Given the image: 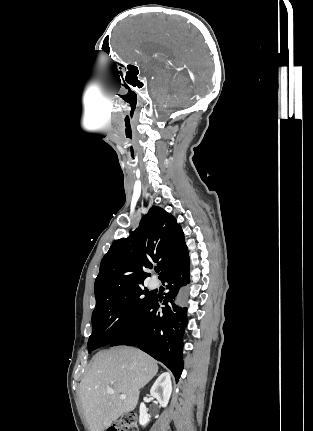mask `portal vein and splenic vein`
I'll return each mask as SVG.
<instances>
[{
  "instance_id": "portal-vein-and-splenic-vein-1",
  "label": "portal vein and splenic vein",
  "mask_w": 313,
  "mask_h": 431,
  "mask_svg": "<svg viewBox=\"0 0 313 431\" xmlns=\"http://www.w3.org/2000/svg\"><path fill=\"white\" fill-rule=\"evenodd\" d=\"M107 393L108 394H114V389L113 388H107ZM122 399H125L126 398V396L125 395H121L120 396Z\"/></svg>"
}]
</instances>
